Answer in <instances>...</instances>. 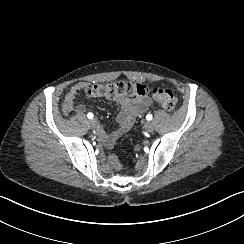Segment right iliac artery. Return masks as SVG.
Returning a JSON list of instances; mask_svg holds the SVG:
<instances>
[{"mask_svg": "<svg viewBox=\"0 0 244 244\" xmlns=\"http://www.w3.org/2000/svg\"><path fill=\"white\" fill-rule=\"evenodd\" d=\"M87 117H88L89 119H92V118H93V114H92V113H88V114H87Z\"/></svg>", "mask_w": 244, "mask_h": 244, "instance_id": "obj_1", "label": "right iliac artery"}]
</instances>
